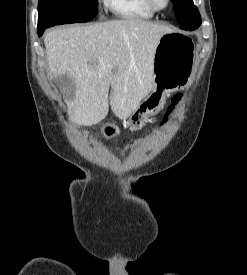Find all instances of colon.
Returning <instances> with one entry per match:
<instances>
[{
  "instance_id": "obj_1",
  "label": "colon",
  "mask_w": 247,
  "mask_h": 275,
  "mask_svg": "<svg viewBox=\"0 0 247 275\" xmlns=\"http://www.w3.org/2000/svg\"><path fill=\"white\" fill-rule=\"evenodd\" d=\"M180 97H174V99L172 100V105L169 107L168 110V115L165 117V119L163 120V124H166L168 121L169 116L171 115V113L173 112V110L175 109V106L177 105V103L179 102Z\"/></svg>"
}]
</instances>
